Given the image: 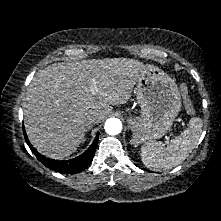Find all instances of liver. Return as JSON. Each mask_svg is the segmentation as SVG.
I'll return each instance as SVG.
<instances>
[{
    "label": "liver",
    "mask_w": 221,
    "mask_h": 221,
    "mask_svg": "<svg viewBox=\"0 0 221 221\" xmlns=\"http://www.w3.org/2000/svg\"><path fill=\"white\" fill-rule=\"evenodd\" d=\"M144 68L135 59L105 58L59 62L39 70L24 103V125L31 144L52 159L71 155L84 138L85 117L94 115L99 123L113 105L127 103Z\"/></svg>",
    "instance_id": "6515ba94"
}]
</instances>
